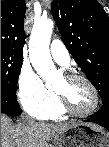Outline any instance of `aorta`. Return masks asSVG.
<instances>
[{"mask_svg": "<svg viewBox=\"0 0 109 147\" xmlns=\"http://www.w3.org/2000/svg\"><path fill=\"white\" fill-rule=\"evenodd\" d=\"M54 23L51 19H40L34 23L29 40V57L36 72L50 87L60 77L50 55V39Z\"/></svg>", "mask_w": 109, "mask_h": 147, "instance_id": "762f6f07", "label": "aorta"}]
</instances>
